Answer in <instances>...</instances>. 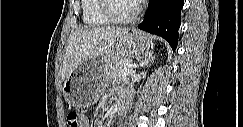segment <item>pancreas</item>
I'll return each mask as SVG.
<instances>
[{
  "instance_id": "1",
  "label": "pancreas",
  "mask_w": 243,
  "mask_h": 127,
  "mask_svg": "<svg viewBox=\"0 0 243 127\" xmlns=\"http://www.w3.org/2000/svg\"><path fill=\"white\" fill-rule=\"evenodd\" d=\"M131 67L132 64H130V62L127 60H120L115 62L109 69L108 80L121 79L124 76L123 74H121V70H123L124 68H131Z\"/></svg>"
}]
</instances>
